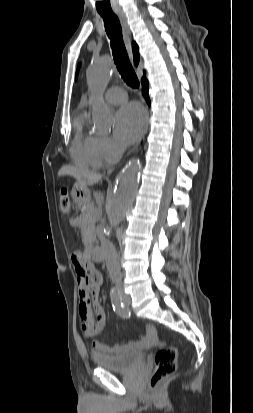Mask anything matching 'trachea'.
<instances>
[{"label": "trachea", "instance_id": "obj_1", "mask_svg": "<svg viewBox=\"0 0 253 413\" xmlns=\"http://www.w3.org/2000/svg\"><path fill=\"white\" fill-rule=\"evenodd\" d=\"M104 20L106 33L111 40V48L117 69L128 86L139 87V80L129 61L123 42L120 21L115 14H100Z\"/></svg>", "mask_w": 253, "mask_h": 413}]
</instances>
